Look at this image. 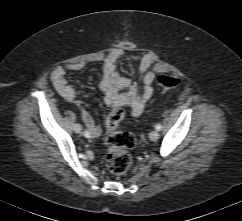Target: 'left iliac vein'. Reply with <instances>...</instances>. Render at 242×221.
Here are the masks:
<instances>
[{
  "label": "left iliac vein",
  "mask_w": 242,
  "mask_h": 221,
  "mask_svg": "<svg viewBox=\"0 0 242 221\" xmlns=\"http://www.w3.org/2000/svg\"><path fill=\"white\" fill-rule=\"evenodd\" d=\"M149 138L153 141L157 140L159 138V132L158 130H153L149 134Z\"/></svg>",
  "instance_id": "1"
}]
</instances>
